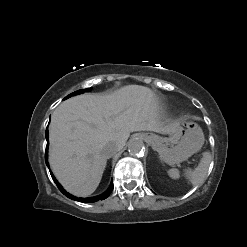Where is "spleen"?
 <instances>
[{"mask_svg": "<svg viewBox=\"0 0 247 247\" xmlns=\"http://www.w3.org/2000/svg\"><path fill=\"white\" fill-rule=\"evenodd\" d=\"M211 160H212V156L210 152L206 151L203 153L200 163L194 170L191 169L185 170V176L193 186H197L204 182ZM168 175L172 179H178L180 177L179 170L176 168L169 169Z\"/></svg>", "mask_w": 247, "mask_h": 247, "instance_id": "3e777b00", "label": "spleen"}]
</instances>
